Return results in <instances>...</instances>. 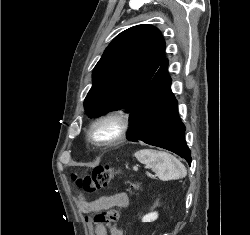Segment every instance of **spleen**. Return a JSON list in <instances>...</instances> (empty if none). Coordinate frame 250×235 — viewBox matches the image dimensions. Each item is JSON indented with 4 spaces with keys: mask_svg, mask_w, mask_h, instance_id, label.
Listing matches in <instances>:
<instances>
[{
    "mask_svg": "<svg viewBox=\"0 0 250 235\" xmlns=\"http://www.w3.org/2000/svg\"><path fill=\"white\" fill-rule=\"evenodd\" d=\"M134 156L154 170L160 180H177L187 175L184 164L167 152L143 149L136 152Z\"/></svg>",
    "mask_w": 250,
    "mask_h": 235,
    "instance_id": "obj_1",
    "label": "spleen"
}]
</instances>
